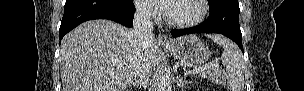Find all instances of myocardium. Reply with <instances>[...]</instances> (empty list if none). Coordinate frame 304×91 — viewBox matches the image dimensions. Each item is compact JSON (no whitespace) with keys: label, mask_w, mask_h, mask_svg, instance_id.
I'll return each instance as SVG.
<instances>
[{"label":"myocardium","mask_w":304,"mask_h":91,"mask_svg":"<svg viewBox=\"0 0 304 91\" xmlns=\"http://www.w3.org/2000/svg\"><path fill=\"white\" fill-rule=\"evenodd\" d=\"M173 1H175V0H173ZM197 1L200 6V13L197 17H195L192 20H188V21H175V20L171 19L168 16L167 11H165L166 22L170 26H173L176 28H190V27L200 24L206 18L207 14H208L209 5H208L207 0H197Z\"/></svg>","instance_id":"obj_1"}]
</instances>
